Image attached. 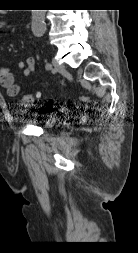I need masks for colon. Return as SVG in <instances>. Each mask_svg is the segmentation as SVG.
<instances>
[{"label":"colon","mask_w":138,"mask_h":253,"mask_svg":"<svg viewBox=\"0 0 138 253\" xmlns=\"http://www.w3.org/2000/svg\"><path fill=\"white\" fill-rule=\"evenodd\" d=\"M41 95L38 94H25L21 97V103L24 106H33L39 99Z\"/></svg>","instance_id":"colon-1"}]
</instances>
